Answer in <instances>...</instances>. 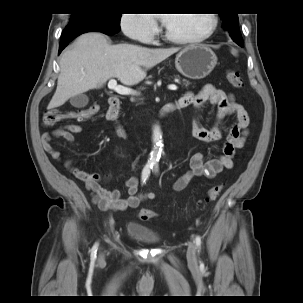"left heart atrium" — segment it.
Returning a JSON list of instances; mask_svg holds the SVG:
<instances>
[{
	"label": "left heart atrium",
	"mask_w": 303,
	"mask_h": 303,
	"mask_svg": "<svg viewBox=\"0 0 303 303\" xmlns=\"http://www.w3.org/2000/svg\"><path fill=\"white\" fill-rule=\"evenodd\" d=\"M167 20H168V17H167V16L162 17V21H163L164 23H166Z\"/></svg>",
	"instance_id": "1"
}]
</instances>
